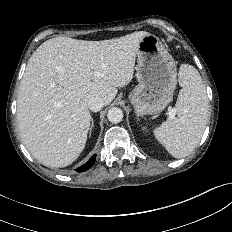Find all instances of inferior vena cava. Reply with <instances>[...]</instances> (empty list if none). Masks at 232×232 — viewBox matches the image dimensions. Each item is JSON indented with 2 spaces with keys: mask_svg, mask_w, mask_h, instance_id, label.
<instances>
[{
  "mask_svg": "<svg viewBox=\"0 0 232 232\" xmlns=\"http://www.w3.org/2000/svg\"><path fill=\"white\" fill-rule=\"evenodd\" d=\"M104 106V101L101 97L95 96L89 99L88 108L93 112L100 111Z\"/></svg>",
  "mask_w": 232,
  "mask_h": 232,
  "instance_id": "inferior-vena-cava-1",
  "label": "inferior vena cava"
}]
</instances>
